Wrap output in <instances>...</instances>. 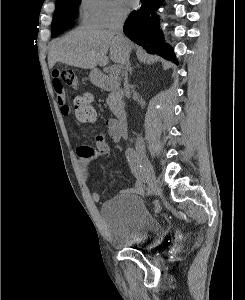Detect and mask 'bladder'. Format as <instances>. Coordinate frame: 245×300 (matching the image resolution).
Instances as JSON below:
<instances>
[{
  "instance_id": "obj_1",
  "label": "bladder",
  "mask_w": 245,
  "mask_h": 300,
  "mask_svg": "<svg viewBox=\"0 0 245 300\" xmlns=\"http://www.w3.org/2000/svg\"><path fill=\"white\" fill-rule=\"evenodd\" d=\"M100 214L109 243L115 248H149L165 239L166 230L162 222L136 194H117L102 204Z\"/></svg>"
}]
</instances>
